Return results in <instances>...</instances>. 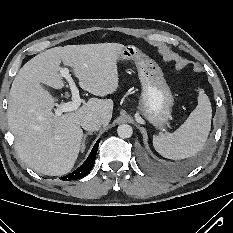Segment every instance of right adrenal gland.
Masks as SVG:
<instances>
[{
    "label": "right adrenal gland",
    "instance_id": "2a0ac1e0",
    "mask_svg": "<svg viewBox=\"0 0 233 233\" xmlns=\"http://www.w3.org/2000/svg\"><path fill=\"white\" fill-rule=\"evenodd\" d=\"M93 133L92 132H88L84 135V138H83V141H82V144H81V152H84L85 150V146H86V138L88 135H92Z\"/></svg>",
    "mask_w": 233,
    "mask_h": 233
}]
</instances>
